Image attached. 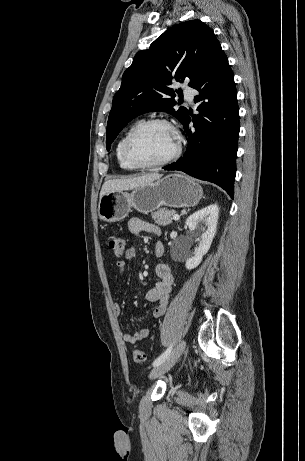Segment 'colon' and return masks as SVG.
Masks as SVG:
<instances>
[{
	"label": "colon",
	"mask_w": 305,
	"mask_h": 461,
	"mask_svg": "<svg viewBox=\"0 0 305 461\" xmlns=\"http://www.w3.org/2000/svg\"><path fill=\"white\" fill-rule=\"evenodd\" d=\"M108 246L115 255L120 256L126 251L127 240L122 236L111 235L108 237ZM133 359L137 363H143L146 361V355L142 350L135 349Z\"/></svg>",
	"instance_id": "colon-1"
}]
</instances>
